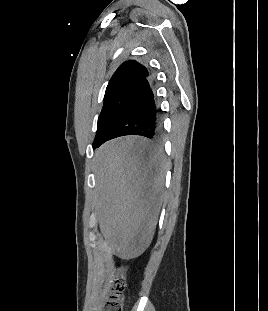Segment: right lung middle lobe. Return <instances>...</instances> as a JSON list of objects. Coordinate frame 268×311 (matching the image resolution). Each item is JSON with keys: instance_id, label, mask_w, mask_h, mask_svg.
<instances>
[{"instance_id": "1", "label": "right lung middle lobe", "mask_w": 268, "mask_h": 311, "mask_svg": "<svg viewBox=\"0 0 268 311\" xmlns=\"http://www.w3.org/2000/svg\"><path fill=\"white\" fill-rule=\"evenodd\" d=\"M134 89L135 85H127L105 94L104 104L98 118L97 132L93 144L102 139L106 130L130 99Z\"/></svg>"}]
</instances>
